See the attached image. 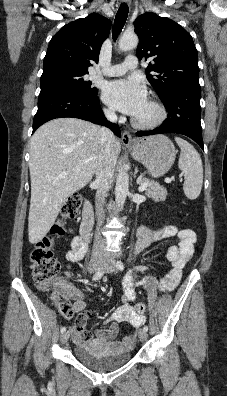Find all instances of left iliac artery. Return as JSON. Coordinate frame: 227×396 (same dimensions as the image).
<instances>
[{
	"label": "left iliac artery",
	"instance_id": "1",
	"mask_svg": "<svg viewBox=\"0 0 227 396\" xmlns=\"http://www.w3.org/2000/svg\"><path fill=\"white\" fill-rule=\"evenodd\" d=\"M116 267H117L118 270H121V271L124 270V264H123V262H122V261H117ZM143 331L147 332V331H148V327H147V326H144V327H143Z\"/></svg>",
	"mask_w": 227,
	"mask_h": 396
}]
</instances>
